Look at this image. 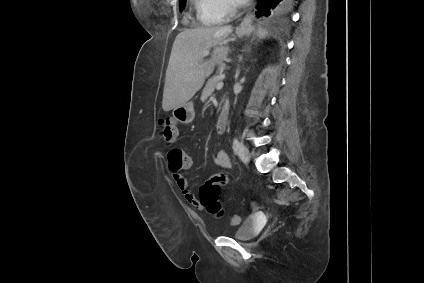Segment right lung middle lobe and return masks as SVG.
Listing matches in <instances>:
<instances>
[{"mask_svg": "<svg viewBox=\"0 0 424 283\" xmlns=\"http://www.w3.org/2000/svg\"><path fill=\"white\" fill-rule=\"evenodd\" d=\"M186 0H180V8L183 9L185 6Z\"/></svg>", "mask_w": 424, "mask_h": 283, "instance_id": "dd1d6c3e", "label": "right lung middle lobe"}]
</instances>
